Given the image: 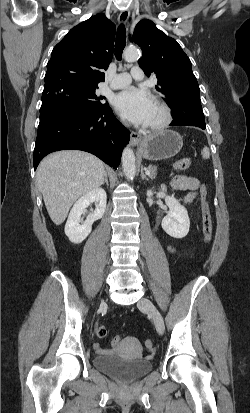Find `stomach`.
I'll return each mask as SVG.
<instances>
[{
	"mask_svg": "<svg viewBox=\"0 0 250 413\" xmlns=\"http://www.w3.org/2000/svg\"><path fill=\"white\" fill-rule=\"evenodd\" d=\"M183 140L179 133L172 130H163L155 135L144 137L138 151L147 160L168 159L181 150Z\"/></svg>",
	"mask_w": 250,
	"mask_h": 413,
	"instance_id": "obj_1",
	"label": "stomach"
}]
</instances>
